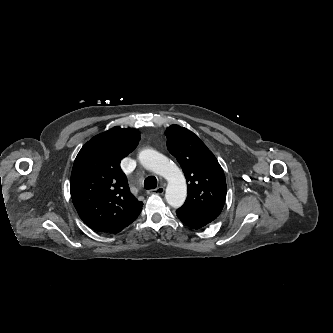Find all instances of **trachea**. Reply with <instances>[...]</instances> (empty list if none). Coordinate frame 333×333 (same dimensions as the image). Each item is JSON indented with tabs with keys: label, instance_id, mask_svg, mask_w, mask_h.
<instances>
[{
	"label": "trachea",
	"instance_id": "1",
	"mask_svg": "<svg viewBox=\"0 0 333 333\" xmlns=\"http://www.w3.org/2000/svg\"><path fill=\"white\" fill-rule=\"evenodd\" d=\"M144 187L146 189H154L157 187V179L154 176H150L145 179Z\"/></svg>",
	"mask_w": 333,
	"mask_h": 333
}]
</instances>
